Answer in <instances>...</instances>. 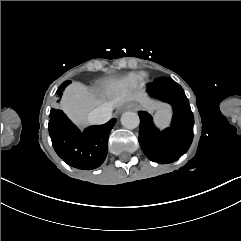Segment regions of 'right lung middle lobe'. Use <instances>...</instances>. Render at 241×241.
<instances>
[{"instance_id": "right-lung-middle-lobe-1", "label": "right lung middle lobe", "mask_w": 241, "mask_h": 241, "mask_svg": "<svg viewBox=\"0 0 241 241\" xmlns=\"http://www.w3.org/2000/svg\"><path fill=\"white\" fill-rule=\"evenodd\" d=\"M71 83V81H65L64 83H62V85L59 87V89L57 90V92H56V97H57V103H59L60 102V99H61V96H62V94H63V91H64V89L66 88V86L68 85V84H70ZM57 108V104H55V108H52L51 109V112L52 111H55V110H57L56 109Z\"/></svg>"}]
</instances>
